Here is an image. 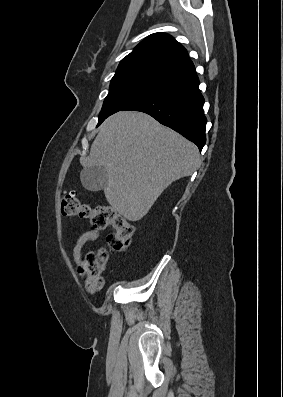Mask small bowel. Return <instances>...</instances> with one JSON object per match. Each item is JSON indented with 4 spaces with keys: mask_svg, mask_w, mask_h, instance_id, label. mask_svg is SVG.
<instances>
[{
    "mask_svg": "<svg viewBox=\"0 0 283 397\" xmlns=\"http://www.w3.org/2000/svg\"><path fill=\"white\" fill-rule=\"evenodd\" d=\"M99 237H100V232L95 229L87 230L77 236L75 244L72 249V256H73L74 262L77 265L81 261L82 250H83L84 246L90 241H95V240L99 239Z\"/></svg>",
    "mask_w": 283,
    "mask_h": 397,
    "instance_id": "small-bowel-1",
    "label": "small bowel"
}]
</instances>
